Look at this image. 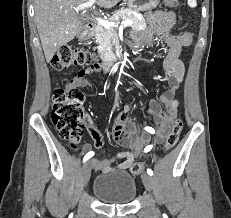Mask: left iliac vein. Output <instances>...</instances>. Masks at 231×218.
I'll use <instances>...</instances> for the list:
<instances>
[{
    "instance_id": "left-iliac-vein-1",
    "label": "left iliac vein",
    "mask_w": 231,
    "mask_h": 218,
    "mask_svg": "<svg viewBox=\"0 0 231 218\" xmlns=\"http://www.w3.org/2000/svg\"><path fill=\"white\" fill-rule=\"evenodd\" d=\"M142 181L147 191L151 192L154 189V181H153V178L149 174L143 173Z\"/></svg>"
}]
</instances>
